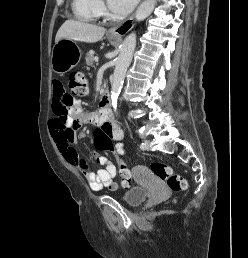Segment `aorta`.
I'll use <instances>...</instances> for the list:
<instances>
[{"label":"aorta","instance_id":"aorta-1","mask_svg":"<svg viewBox=\"0 0 248 258\" xmlns=\"http://www.w3.org/2000/svg\"><path fill=\"white\" fill-rule=\"evenodd\" d=\"M157 0H145L136 10L135 18L137 21H143L154 10ZM136 47V34L130 33L123 41L122 49L117 58L111 87V101L114 109L117 107V99L120 94L122 84L128 66L133 57V52Z\"/></svg>","mask_w":248,"mask_h":258}]
</instances>
